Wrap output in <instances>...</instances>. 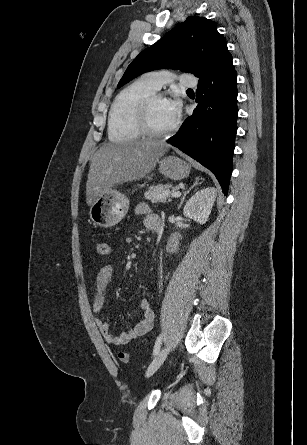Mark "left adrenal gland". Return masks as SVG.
<instances>
[{
	"mask_svg": "<svg viewBox=\"0 0 307 445\" xmlns=\"http://www.w3.org/2000/svg\"><path fill=\"white\" fill-rule=\"evenodd\" d=\"M198 180H200V178H196L194 184H192V186H190V188H188V190H186V192H184L183 196H181V200L178 204V208H180V206H182V204L184 202V198H185L186 194H188V192H190L191 188H194V186H196V184H201V182H198Z\"/></svg>",
	"mask_w": 307,
	"mask_h": 445,
	"instance_id": "left-adrenal-gland-1",
	"label": "left adrenal gland"
}]
</instances>
